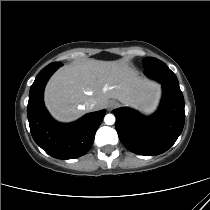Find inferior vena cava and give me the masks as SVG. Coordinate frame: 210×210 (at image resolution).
Segmentation results:
<instances>
[{
    "instance_id": "obj_1",
    "label": "inferior vena cava",
    "mask_w": 210,
    "mask_h": 210,
    "mask_svg": "<svg viewBox=\"0 0 210 210\" xmlns=\"http://www.w3.org/2000/svg\"><path fill=\"white\" fill-rule=\"evenodd\" d=\"M96 105V102L95 100L93 99H90L88 102H86V107L89 109V110H93L94 107Z\"/></svg>"
}]
</instances>
